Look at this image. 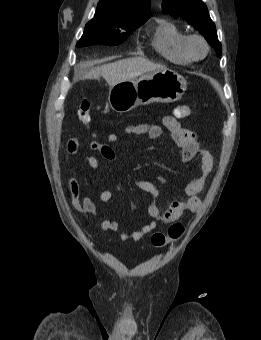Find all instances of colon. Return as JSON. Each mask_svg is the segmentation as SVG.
Segmentation results:
<instances>
[{
    "label": "colon",
    "mask_w": 261,
    "mask_h": 340,
    "mask_svg": "<svg viewBox=\"0 0 261 340\" xmlns=\"http://www.w3.org/2000/svg\"><path fill=\"white\" fill-rule=\"evenodd\" d=\"M173 114L177 118H186L191 115V109L188 106L180 105L177 106ZM78 116L82 123L88 126L91 122V105L87 100H83L78 106ZM184 226L181 223L172 224L166 233H154L151 237V243L157 248L165 247L179 240L184 234Z\"/></svg>",
    "instance_id": "1"
}]
</instances>
